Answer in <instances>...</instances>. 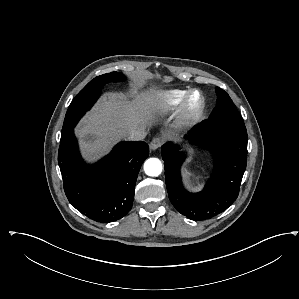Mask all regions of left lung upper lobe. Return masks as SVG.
<instances>
[{"mask_svg":"<svg viewBox=\"0 0 299 299\" xmlns=\"http://www.w3.org/2000/svg\"><path fill=\"white\" fill-rule=\"evenodd\" d=\"M217 101L210 118H226L243 121L229 95L219 87H216Z\"/></svg>","mask_w":299,"mask_h":299,"instance_id":"obj_1","label":"left lung upper lobe"}]
</instances>
